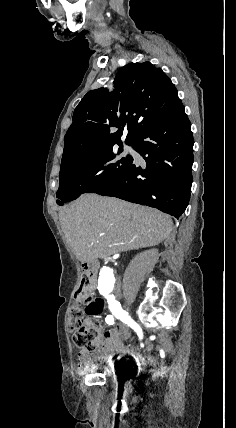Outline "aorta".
<instances>
[{"label":"aorta","instance_id":"obj_1","mask_svg":"<svg viewBox=\"0 0 236 428\" xmlns=\"http://www.w3.org/2000/svg\"><path fill=\"white\" fill-rule=\"evenodd\" d=\"M118 278L111 267L103 266L99 273L98 288L102 294H112L115 292Z\"/></svg>","mask_w":236,"mask_h":428}]
</instances>
